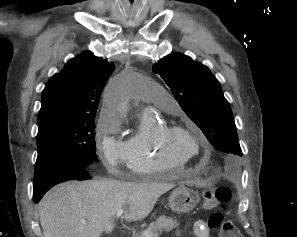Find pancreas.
Listing matches in <instances>:
<instances>
[{"label":"pancreas","mask_w":297,"mask_h":237,"mask_svg":"<svg viewBox=\"0 0 297 237\" xmlns=\"http://www.w3.org/2000/svg\"><path fill=\"white\" fill-rule=\"evenodd\" d=\"M178 226V222L172 218L161 216L155 222H152L149 227L140 234H136L134 237H145V233H149L154 237L159 231L169 232Z\"/></svg>","instance_id":"cf45deb5"}]
</instances>
